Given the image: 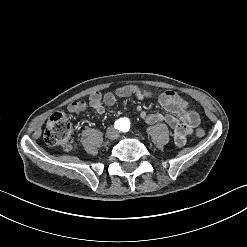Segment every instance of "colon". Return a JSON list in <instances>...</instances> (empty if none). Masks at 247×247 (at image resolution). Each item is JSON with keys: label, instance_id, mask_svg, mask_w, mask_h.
Segmentation results:
<instances>
[{"label": "colon", "instance_id": "5ec220e1", "mask_svg": "<svg viewBox=\"0 0 247 247\" xmlns=\"http://www.w3.org/2000/svg\"><path fill=\"white\" fill-rule=\"evenodd\" d=\"M141 97L148 95L146 88L139 90ZM72 128L71 122L67 116L62 112H54L46 121L43 138L47 145L57 147L65 151H71L74 148V142L71 138ZM197 136H204V130L198 128Z\"/></svg>", "mask_w": 247, "mask_h": 247}]
</instances>
